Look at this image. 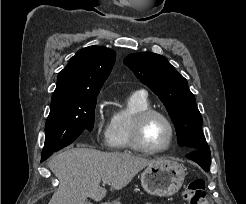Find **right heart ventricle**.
Masks as SVG:
<instances>
[{"mask_svg": "<svg viewBox=\"0 0 246 204\" xmlns=\"http://www.w3.org/2000/svg\"><path fill=\"white\" fill-rule=\"evenodd\" d=\"M151 108L146 94L133 93L124 108L115 110L110 118L106 145L112 150L131 149L130 131L134 117L141 111Z\"/></svg>", "mask_w": 246, "mask_h": 204, "instance_id": "right-heart-ventricle-1", "label": "right heart ventricle"}]
</instances>
